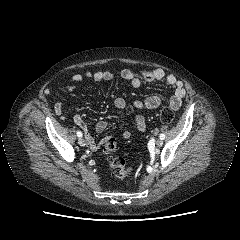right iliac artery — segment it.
<instances>
[{
	"label": "right iliac artery",
	"instance_id": "82829eb1",
	"mask_svg": "<svg viewBox=\"0 0 240 240\" xmlns=\"http://www.w3.org/2000/svg\"><path fill=\"white\" fill-rule=\"evenodd\" d=\"M77 136H78L79 138L82 137L81 131H77Z\"/></svg>",
	"mask_w": 240,
	"mask_h": 240
}]
</instances>
